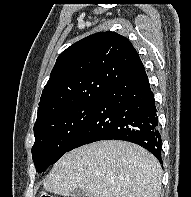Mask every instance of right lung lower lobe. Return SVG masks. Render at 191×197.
<instances>
[{
    "mask_svg": "<svg viewBox=\"0 0 191 197\" xmlns=\"http://www.w3.org/2000/svg\"><path fill=\"white\" fill-rule=\"evenodd\" d=\"M105 139L136 143L161 162L157 109L145 70L115 83L102 94L68 151Z\"/></svg>",
    "mask_w": 191,
    "mask_h": 197,
    "instance_id": "obj_1",
    "label": "right lung lower lobe"
}]
</instances>
